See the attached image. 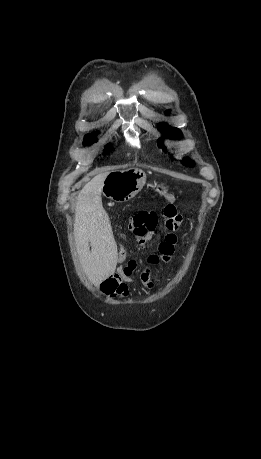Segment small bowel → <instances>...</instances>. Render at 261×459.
Wrapping results in <instances>:
<instances>
[{
  "label": "small bowel",
  "mask_w": 261,
  "mask_h": 459,
  "mask_svg": "<svg viewBox=\"0 0 261 459\" xmlns=\"http://www.w3.org/2000/svg\"><path fill=\"white\" fill-rule=\"evenodd\" d=\"M133 231L132 228H129ZM134 232V231H133ZM137 242L144 248L148 242L155 239L156 234L154 231L147 232L145 234L135 233ZM177 243L176 238H167L166 234L164 238L158 243L157 252L151 253L148 256V266L144 267L139 272V280L146 289H152L154 286L151 265H156L160 261L165 263H171L175 245ZM136 268L135 261L131 260L125 267H119L116 273L111 274L101 283V291L113 298H126L130 293L129 284L133 283L132 273Z\"/></svg>",
  "instance_id": "1"
}]
</instances>
